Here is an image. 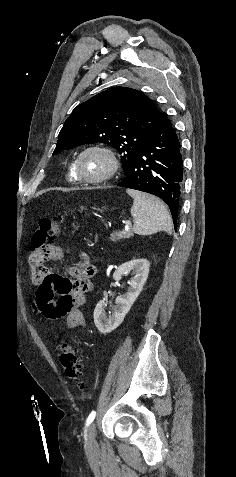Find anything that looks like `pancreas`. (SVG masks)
<instances>
[{"label":"pancreas","instance_id":"pancreas-1","mask_svg":"<svg viewBox=\"0 0 236 477\" xmlns=\"http://www.w3.org/2000/svg\"><path fill=\"white\" fill-rule=\"evenodd\" d=\"M133 231L132 229H129L127 231H119V232H114L111 234L110 240L113 242L122 240V239H127L133 237Z\"/></svg>","mask_w":236,"mask_h":477}]
</instances>
